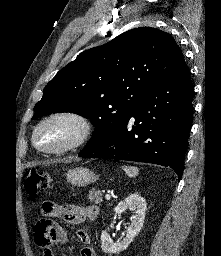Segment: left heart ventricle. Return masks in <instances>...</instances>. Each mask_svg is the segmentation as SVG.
Instances as JSON below:
<instances>
[{"label": "left heart ventricle", "mask_w": 221, "mask_h": 256, "mask_svg": "<svg viewBox=\"0 0 221 256\" xmlns=\"http://www.w3.org/2000/svg\"><path fill=\"white\" fill-rule=\"evenodd\" d=\"M77 128L71 121L56 120L46 124L38 133V143L44 147H58L71 141Z\"/></svg>", "instance_id": "left-heart-ventricle-1"}]
</instances>
